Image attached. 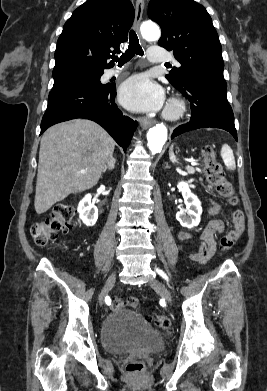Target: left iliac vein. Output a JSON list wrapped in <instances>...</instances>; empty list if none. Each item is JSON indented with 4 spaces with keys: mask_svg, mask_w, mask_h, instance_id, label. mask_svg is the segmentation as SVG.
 I'll use <instances>...</instances> for the list:
<instances>
[{
    "mask_svg": "<svg viewBox=\"0 0 267 391\" xmlns=\"http://www.w3.org/2000/svg\"><path fill=\"white\" fill-rule=\"evenodd\" d=\"M150 286L155 289L168 302L172 301V296L167 287L157 279H152L149 282Z\"/></svg>",
    "mask_w": 267,
    "mask_h": 391,
    "instance_id": "1",
    "label": "left iliac vein"
}]
</instances>
